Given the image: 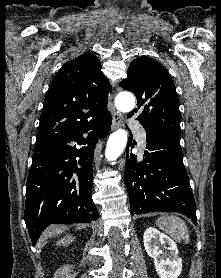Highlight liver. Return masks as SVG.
<instances>
[{
    "mask_svg": "<svg viewBox=\"0 0 221 278\" xmlns=\"http://www.w3.org/2000/svg\"><path fill=\"white\" fill-rule=\"evenodd\" d=\"M74 240V238L72 236H67L66 238L61 239L58 244H62L63 246H67L69 245L72 241Z\"/></svg>",
    "mask_w": 221,
    "mask_h": 278,
    "instance_id": "6515ba94",
    "label": "liver"
}]
</instances>
